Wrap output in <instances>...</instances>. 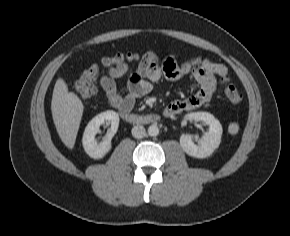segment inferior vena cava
<instances>
[{"label": "inferior vena cava", "instance_id": "1", "mask_svg": "<svg viewBox=\"0 0 290 236\" xmlns=\"http://www.w3.org/2000/svg\"><path fill=\"white\" fill-rule=\"evenodd\" d=\"M132 135L135 138H142L146 135V130L142 125H136L132 128Z\"/></svg>", "mask_w": 290, "mask_h": 236}]
</instances>
